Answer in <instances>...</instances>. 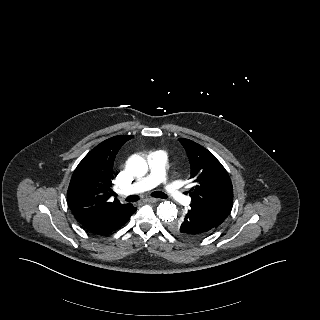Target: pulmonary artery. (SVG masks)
<instances>
[{"label": "pulmonary artery", "instance_id": "pulmonary-artery-1", "mask_svg": "<svg viewBox=\"0 0 320 320\" xmlns=\"http://www.w3.org/2000/svg\"><path fill=\"white\" fill-rule=\"evenodd\" d=\"M167 154L164 151H154L148 155L150 173L137 179L132 185L123 190L124 194H135L147 191L162 184L167 194L178 202H185L187 197L178 186L169 181L166 176Z\"/></svg>", "mask_w": 320, "mask_h": 320}]
</instances>
